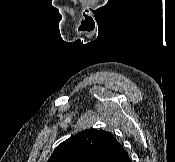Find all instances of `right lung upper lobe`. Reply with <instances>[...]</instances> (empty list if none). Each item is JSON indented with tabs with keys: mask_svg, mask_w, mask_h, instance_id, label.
<instances>
[{
	"mask_svg": "<svg viewBox=\"0 0 175 162\" xmlns=\"http://www.w3.org/2000/svg\"><path fill=\"white\" fill-rule=\"evenodd\" d=\"M126 155L110 132L87 129L58 145L47 162H118Z\"/></svg>",
	"mask_w": 175,
	"mask_h": 162,
	"instance_id": "cb5924a9",
	"label": "right lung upper lobe"
}]
</instances>
